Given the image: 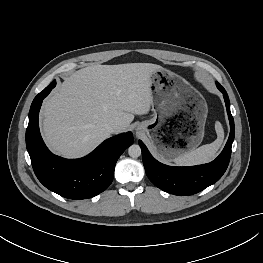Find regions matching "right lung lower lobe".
<instances>
[{
  "instance_id": "obj_1",
  "label": "right lung lower lobe",
  "mask_w": 263,
  "mask_h": 263,
  "mask_svg": "<svg viewBox=\"0 0 263 263\" xmlns=\"http://www.w3.org/2000/svg\"><path fill=\"white\" fill-rule=\"evenodd\" d=\"M56 85L53 81L33 100L26 130V147L33 170L49 190L69 199H87L103 192L112 182L116 162L133 143L131 132L111 137L92 153L80 159H65L52 154L39 131L38 115L42 100Z\"/></svg>"
}]
</instances>
